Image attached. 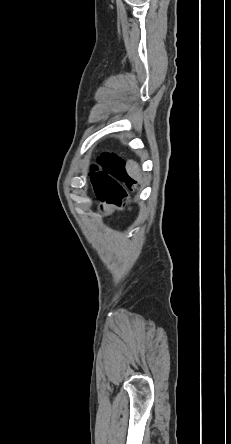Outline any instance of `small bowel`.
Segmentation results:
<instances>
[{
	"mask_svg": "<svg viewBox=\"0 0 231 444\" xmlns=\"http://www.w3.org/2000/svg\"><path fill=\"white\" fill-rule=\"evenodd\" d=\"M110 210H111V208L109 207V208H108V211H110Z\"/></svg>",
	"mask_w": 231,
	"mask_h": 444,
	"instance_id": "obj_1",
	"label": "small bowel"
}]
</instances>
